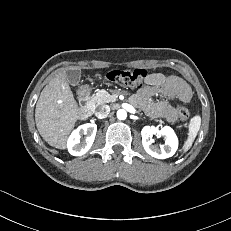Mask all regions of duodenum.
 Listing matches in <instances>:
<instances>
[{
	"label": "duodenum",
	"mask_w": 231,
	"mask_h": 231,
	"mask_svg": "<svg viewBox=\"0 0 231 231\" xmlns=\"http://www.w3.org/2000/svg\"><path fill=\"white\" fill-rule=\"evenodd\" d=\"M80 102L81 106L78 110L80 116H85L92 111V105L89 102V94L86 90L81 91L80 93Z\"/></svg>",
	"instance_id": "410a0bca"
}]
</instances>
